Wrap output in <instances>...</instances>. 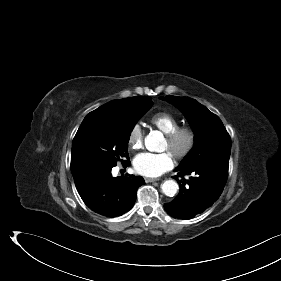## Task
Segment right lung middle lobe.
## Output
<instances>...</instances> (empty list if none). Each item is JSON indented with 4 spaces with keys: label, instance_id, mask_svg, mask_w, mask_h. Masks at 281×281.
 I'll use <instances>...</instances> for the list:
<instances>
[{
    "label": "right lung middle lobe",
    "instance_id": "obj_1",
    "mask_svg": "<svg viewBox=\"0 0 281 281\" xmlns=\"http://www.w3.org/2000/svg\"><path fill=\"white\" fill-rule=\"evenodd\" d=\"M152 105L151 98L141 97L120 114L84 119L73 139L71 170L124 163L131 131Z\"/></svg>",
    "mask_w": 281,
    "mask_h": 281
}]
</instances>
